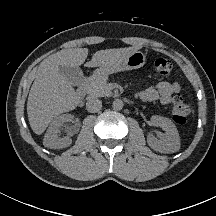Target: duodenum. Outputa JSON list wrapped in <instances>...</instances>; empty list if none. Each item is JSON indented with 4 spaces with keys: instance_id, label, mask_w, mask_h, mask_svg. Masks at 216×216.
I'll return each mask as SVG.
<instances>
[{
    "instance_id": "410a0bca",
    "label": "duodenum",
    "mask_w": 216,
    "mask_h": 216,
    "mask_svg": "<svg viewBox=\"0 0 216 216\" xmlns=\"http://www.w3.org/2000/svg\"><path fill=\"white\" fill-rule=\"evenodd\" d=\"M90 80H91L90 77L86 78L85 81L82 83V85L77 89L76 97L79 104L83 102L87 94V88Z\"/></svg>"
}]
</instances>
